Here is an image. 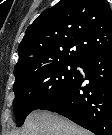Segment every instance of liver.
Returning <instances> with one entry per match:
<instances>
[{"label": "liver", "mask_w": 112, "mask_h": 135, "mask_svg": "<svg viewBox=\"0 0 112 135\" xmlns=\"http://www.w3.org/2000/svg\"><path fill=\"white\" fill-rule=\"evenodd\" d=\"M17 135H91L90 132L57 114L36 110L28 115Z\"/></svg>", "instance_id": "1"}]
</instances>
